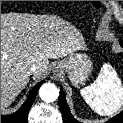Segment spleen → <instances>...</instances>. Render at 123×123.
<instances>
[{"instance_id": "3e777b00", "label": "spleen", "mask_w": 123, "mask_h": 123, "mask_svg": "<svg viewBox=\"0 0 123 123\" xmlns=\"http://www.w3.org/2000/svg\"><path fill=\"white\" fill-rule=\"evenodd\" d=\"M80 92L86 103L100 115H113L123 105L121 80L109 64H104L97 79Z\"/></svg>"}]
</instances>
